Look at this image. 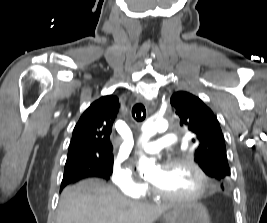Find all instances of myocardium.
Wrapping results in <instances>:
<instances>
[{
	"label": "myocardium",
	"mask_w": 267,
	"mask_h": 223,
	"mask_svg": "<svg viewBox=\"0 0 267 223\" xmlns=\"http://www.w3.org/2000/svg\"><path fill=\"white\" fill-rule=\"evenodd\" d=\"M177 165H187L194 170L198 179H199V188L198 190L190 195L177 196L169 195L159 191L153 184H151V192L153 196L162 201L170 203H194L200 200L206 193L208 189V178L204 170L191 158L184 156H174L166 159L163 163V167H172Z\"/></svg>",
	"instance_id": "f54148a6"
}]
</instances>
